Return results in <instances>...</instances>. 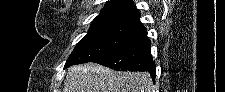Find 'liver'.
Returning a JSON list of instances; mask_svg holds the SVG:
<instances>
[{"mask_svg":"<svg viewBox=\"0 0 225 92\" xmlns=\"http://www.w3.org/2000/svg\"><path fill=\"white\" fill-rule=\"evenodd\" d=\"M147 72H117L95 63L70 67L63 92H154Z\"/></svg>","mask_w":225,"mask_h":92,"instance_id":"6515ba94","label":"liver"}]
</instances>
